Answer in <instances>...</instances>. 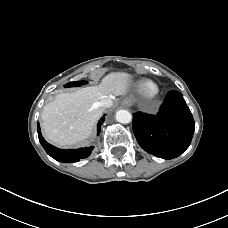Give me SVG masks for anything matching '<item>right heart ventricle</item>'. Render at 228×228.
I'll use <instances>...</instances> for the list:
<instances>
[{
	"label": "right heart ventricle",
	"instance_id": "e07e8e85",
	"mask_svg": "<svg viewBox=\"0 0 228 228\" xmlns=\"http://www.w3.org/2000/svg\"><path fill=\"white\" fill-rule=\"evenodd\" d=\"M138 89H139L140 93H142L143 95L152 96L157 92L158 87L151 80H143L139 83Z\"/></svg>",
	"mask_w": 228,
	"mask_h": 228
}]
</instances>
